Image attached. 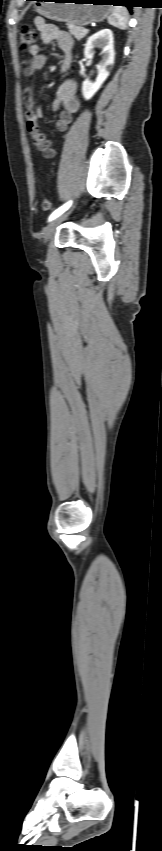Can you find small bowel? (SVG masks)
<instances>
[{"label": "small bowel", "mask_w": 162, "mask_h": 851, "mask_svg": "<svg viewBox=\"0 0 162 851\" xmlns=\"http://www.w3.org/2000/svg\"><path fill=\"white\" fill-rule=\"evenodd\" d=\"M35 25L41 33V39L44 43L56 42L60 49L64 52L62 71L65 72L70 61V50L72 47L71 36L61 30L58 26L47 23L43 18H37ZM32 58L23 63V72L26 76H31L34 72L42 69L45 65L46 58L41 53L38 45H33L29 49ZM24 106L26 113V127L30 133L36 149L42 153L46 159H52L56 156V149L40 130V120L43 117L41 108L35 106V98L31 88H26L24 91ZM51 108L54 112H59L56 128L60 132L67 131L72 122L73 115L78 112L80 102L77 98V85L73 80L63 82L58 90L57 96L53 101Z\"/></svg>", "instance_id": "1"}]
</instances>
